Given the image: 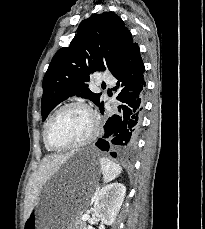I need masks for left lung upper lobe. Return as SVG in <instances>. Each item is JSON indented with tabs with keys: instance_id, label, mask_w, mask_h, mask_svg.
<instances>
[{
	"instance_id": "5c2ea615",
	"label": "left lung upper lobe",
	"mask_w": 205,
	"mask_h": 229,
	"mask_svg": "<svg viewBox=\"0 0 205 229\" xmlns=\"http://www.w3.org/2000/svg\"><path fill=\"white\" fill-rule=\"evenodd\" d=\"M133 44L130 31L113 12L93 14L83 20L68 47L56 52L43 78L42 121L60 102L78 95L103 108L100 94L86 84L95 71L117 69L123 55Z\"/></svg>"
}]
</instances>
